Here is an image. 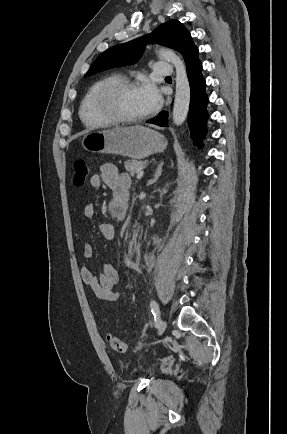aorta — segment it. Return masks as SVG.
<instances>
[{
    "mask_svg": "<svg viewBox=\"0 0 287 434\" xmlns=\"http://www.w3.org/2000/svg\"><path fill=\"white\" fill-rule=\"evenodd\" d=\"M159 55L162 59L172 63L176 70V93L172 118L174 124L180 126L186 119L190 103V86L186 66L184 61L170 49H161Z\"/></svg>",
    "mask_w": 287,
    "mask_h": 434,
    "instance_id": "obj_1",
    "label": "aorta"
}]
</instances>
